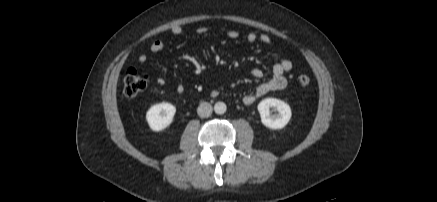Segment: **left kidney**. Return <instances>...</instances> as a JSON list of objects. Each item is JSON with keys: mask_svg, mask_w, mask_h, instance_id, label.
Wrapping results in <instances>:
<instances>
[{"mask_svg": "<svg viewBox=\"0 0 437 202\" xmlns=\"http://www.w3.org/2000/svg\"><path fill=\"white\" fill-rule=\"evenodd\" d=\"M257 108L260 113L261 122L270 129L284 128L292 115L290 106L276 98L263 99ZM270 109H274L278 113L271 114Z\"/></svg>", "mask_w": 437, "mask_h": 202, "instance_id": "left-kidney-1", "label": "left kidney"}]
</instances>
